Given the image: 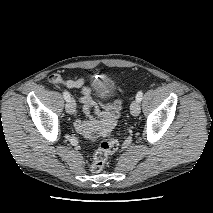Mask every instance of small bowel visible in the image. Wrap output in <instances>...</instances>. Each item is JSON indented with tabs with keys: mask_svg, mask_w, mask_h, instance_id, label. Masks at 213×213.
<instances>
[{
	"mask_svg": "<svg viewBox=\"0 0 213 213\" xmlns=\"http://www.w3.org/2000/svg\"><path fill=\"white\" fill-rule=\"evenodd\" d=\"M50 82L53 84L64 85L67 88L80 89L79 101L82 104V111L86 118L76 119L74 125L76 130L85 137L95 139L103 135L117 121L121 110L120 103L109 106L104 116L99 120L91 117L93 108V94L92 89L85 85V78L64 80L60 75L53 74L50 77Z\"/></svg>",
	"mask_w": 213,
	"mask_h": 213,
	"instance_id": "1",
	"label": "small bowel"
}]
</instances>
